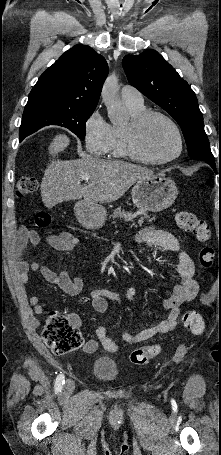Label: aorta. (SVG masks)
Instances as JSON below:
<instances>
[{"instance_id": "1", "label": "aorta", "mask_w": 221, "mask_h": 455, "mask_svg": "<svg viewBox=\"0 0 221 455\" xmlns=\"http://www.w3.org/2000/svg\"><path fill=\"white\" fill-rule=\"evenodd\" d=\"M118 80L115 74L107 77L101 92L102 100L107 107L108 117L113 124H124L128 114L117 96Z\"/></svg>"}]
</instances>
